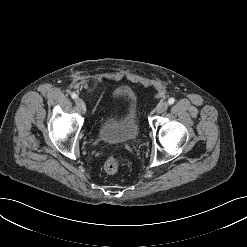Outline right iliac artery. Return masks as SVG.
<instances>
[{
  "label": "right iliac artery",
  "instance_id": "right-iliac-artery-1",
  "mask_svg": "<svg viewBox=\"0 0 247 247\" xmlns=\"http://www.w3.org/2000/svg\"><path fill=\"white\" fill-rule=\"evenodd\" d=\"M71 97H72L73 99H77L78 96H77V94L72 93V94H71Z\"/></svg>",
  "mask_w": 247,
  "mask_h": 247
}]
</instances>
